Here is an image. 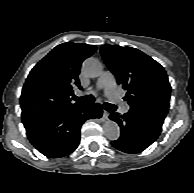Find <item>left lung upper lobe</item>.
<instances>
[{"mask_svg":"<svg viewBox=\"0 0 194 193\" xmlns=\"http://www.w3.org/2000/svg\"><path fill=\"white\" fill-rule=\"evenodd\" d=\"M102 57L127 94L130 110L165 119L171 86L164 68L154 59L132 47L103 45Z\"/></svg>","mask_w":194,"mask_h":193,"instance_id":"obj_1","label":"left lung upper lobe"}]
</instances>
